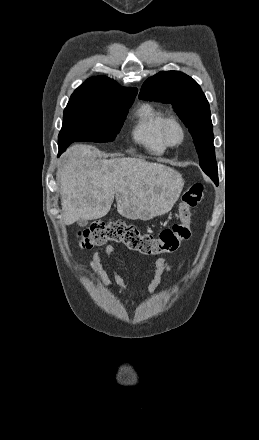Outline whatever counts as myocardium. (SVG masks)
<instances>
[{
	"mask_svg": "<svg viewBox=\"0 0 259 440\" xmlns=\"http://www.w3.org/2000/svg\"><path fill=\"white\" fill-rule=\"evenodd\" d=\"M172 126H175L180 131V139L177 142L171 141L169 137V130ZM161 137L167 147L180 146L186 138V129L183 123L175 116H168L161 126Z\"/></svg>",
	"mask_w": 259,
	"mask_h": 440,
	"instance_id": "myocardium-1",
	"label": "myocardium"
}]
</instances>
